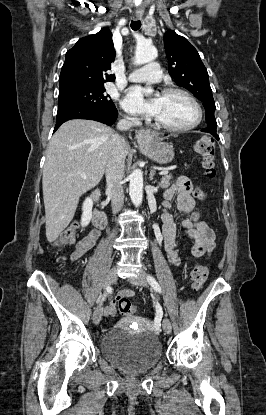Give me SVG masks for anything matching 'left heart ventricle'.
<instances>
[{"mask_svg":"<svg viewBox=\"0 0 266 415\" xmlns=\"http://www.w3.org/2000/svg\"><path fill=\"white\" fill-rule=\"evenodd\" d=\"M155 117L162 123L175 127L191 124L196 119L192 103L179 94H162Z\"/></svg>","mask_w":266,"mask_h":415,"instance_id":"1","label":"left heart ventricle"}]
</instances>
